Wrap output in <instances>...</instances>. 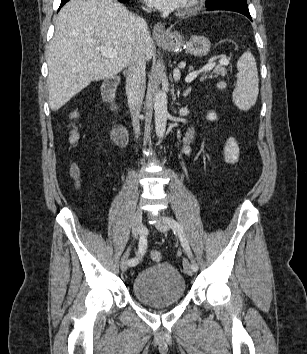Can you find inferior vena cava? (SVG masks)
Returning <instances> with one entry per match:
<instances>
[{"label": "inferior vena cava", "instance_id": "1", "mask_svg": "<svg viewBox=\"0 0 307 354\" xmlns=\"http://www.w3.org/2000/svg\"><path fill=\"white\" fill-rule=\"evenodd\" d=\"M145 10L148 12L150 11V9ZM136 25L137 43L128 68L126 78V94L130 104L132 125L137 138L140 131L139 114L146 87V58L144 46L149 32L148 25L144 19L137 18Z\"/></svg>", "mask_w": 307, "mask_h": 354}]
</instances>
